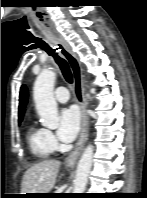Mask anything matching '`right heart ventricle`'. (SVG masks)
I'll return each instance as SVG.
<instances>
[{
  "mask_svg": "<svg viewBox=\"0 0 147 198\" xmlns=\"http://www.w3.org/2000/svg\"><path fill=\"white\" fill-rule=\"evenodd\" d=\"M28 145L31 153L38 159H45L49 157L52 152L47 136L46 129L36 125H30L27 131Z\"/></svg>",
  "mask_w": 147,
  "mask_h": 198,
  "instance_id": "obj_1",
  "label": "right heart ventricle"
}]
</instances>
